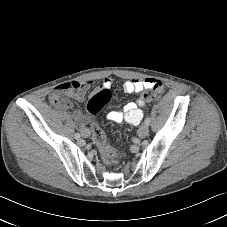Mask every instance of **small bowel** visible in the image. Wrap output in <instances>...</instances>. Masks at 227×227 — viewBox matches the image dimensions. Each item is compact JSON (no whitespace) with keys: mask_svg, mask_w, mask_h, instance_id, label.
<instances>
[{"mask_svg":"<svg viewBox=\"0 0 227 227\" xmlns=\"http://www.w3.org/2000/svg\"><path fill=\"white\" fill-rule=\"evenodd\" d=\"M151 81H152V79L127 80L123 83V90L126 93H139V92L143 91L144 89H148L151 86ZM71 84L76 85L77 88L72 89V90L64 89L65 86H68ZM92 84H93L92 81H87V82H82V83L70 82V83L60 85L50 93V99L59 108L67 109V110L73 109L74 108L73 103L64 96L65 95L71 96V97H74L78 101H82L84 99L87 91L91 88ZM112 84H113V79L106 78L103 81L102 88L108 89L112 86ZM59 91H63V94L60 97L55 98V93L59 92ZM144 106H145V100L140 98L136 102L127 103L122 110H116V111L109 112L106 116V119L108 121L116 122V123L126 122L131 125H138L143 118L142 108ZM73 116L76 119V121L80 127L81 133L84 135V132L86 130L89 131V129L86 127V123L88 121L87 117H85L82 114V112L78 109L74 110Z\"/></svg>","mask_w":227,"mask_h":227,"instance_id":"c3829d8e","label":"small bowel"}]
</instances>
